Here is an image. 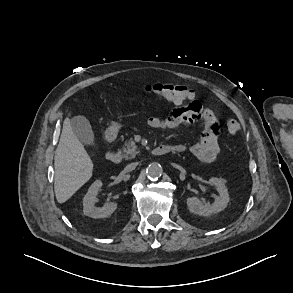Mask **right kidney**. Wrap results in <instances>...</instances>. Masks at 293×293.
<instances>
[{"label":"right kidney","instance_id":"obj_1","mask_svg":"<svg viewBox=\"0 0 293 293\" xmlns=\"http://www.w3.org/2000/svg\"><path fill=\"white\" fill-rule=\"evenodd\" d=\"M102 187V182L100 180L95 181L88 189V192L83 198V212L86 216L91 218H105L110 216L116 209L117 203L110 202L105 203L103 207L96 208L95 203L97 201L96 194L99 188Z\"/></svg>","mask_w":293,"mask_h":293}]
</instances>
